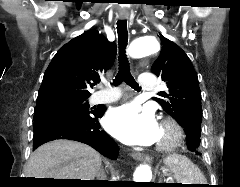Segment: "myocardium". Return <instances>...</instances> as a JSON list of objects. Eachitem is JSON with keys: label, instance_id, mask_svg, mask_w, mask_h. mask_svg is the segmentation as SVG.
<instances>
[{"label": "myocardium", "instance_id": "1", "mask_svg": "<svg viewBox=\"0 0 240 187\" xmlns=\"http://www.w3.org/2000/svg\"><path fill=\"white\" fill-rule=\"evenodd\" d=\"M161 129L164 137L156 146L161 152H168L177 148L184 139V131L181 124L173 117H166L161 121Z\"/></svg>", "mask_w": 240, "mask_h": 187}]
</instances>
